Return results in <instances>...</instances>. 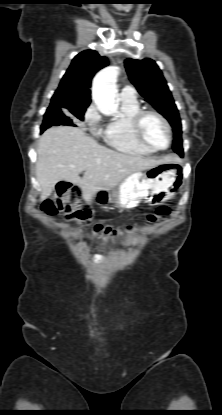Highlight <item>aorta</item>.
<instances>
[{"mask_svg": "<svg viewBox=\"0 0 222 415\" xmlns=\"http://www.w3.org/2000/svg\"><path fill=\"white\" fill-rule=\"evenodd\" d=\"M119 75V67L108 66L99 71L92 86V99L97 109L104 115H116L118 103L116 102V82Z\"/></svg>", "mask_w": 222, "mask_h": 415, "instance_id": "aorta-1", "label": "aorta"}]
</instances>
